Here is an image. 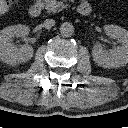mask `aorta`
<instances>
[{"label":"aorta","instance_id":"762f6f07","mask_svg":"<svg viewBox=\"0 0 128 128\" xmlns=\"http://www.w3.org/2000/svg\"><path fill=\"white\" fill-rule=\"evenodd\" d=\"M60 33L65 37H70L74 33V26L70 22H64L60 26Z\"/></svg>","mask_w":128,"mask_h":128}]
</instances>
